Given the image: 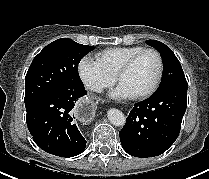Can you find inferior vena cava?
<instances>
[{
	"label": "inferior vena cava",
	"instance_id": "obj_1",
	"mask_svg": "<svg viewBox=\"0 0 209 179\" xmlns=\"http://www.w3.org/2000/svg\"><path fill=\"white\" fill-rule=\"evenodd\" d=\"M90 88L94 91H97V92H100L102 90V88L100 86H95V85L91 86Z\"/></svg>",
	"mask_w": 209,
	"mask_h": 179
}]
</instances>
